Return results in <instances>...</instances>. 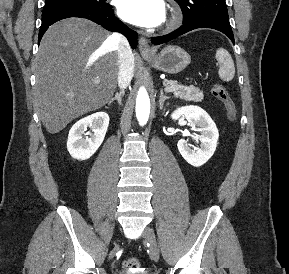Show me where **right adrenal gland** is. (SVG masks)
Instances as JSON below:
<instances>
[{
  "label": "right adrenal gland",
  "mask_w": 289,
  "mask_h": 274,
  "mask_svg": "<svg viewBox=\"0 0 289 274\" xmlns=\"http://www.w3.org/2000/svg\"><path fill=\"white\" fill-rule=\"evenodd\" d=\"M124 95V90H121L119 93L115 94V97L112 98L109 102L108 105H111L114 101H117L119 105H122V96Z\"/></svg>",
  "instance_id": "right-adrenal-gland-1"
}]
</instances>
